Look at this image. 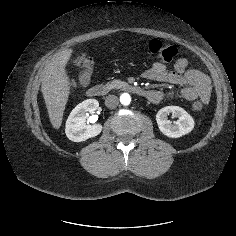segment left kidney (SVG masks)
Returning a JSON list of instances; mask_svg holds the SVG:
<instances>
[{"instance_id": "left-kidney-1", "label": "left kidney", "mask_w": 236, "mask_h": 236, "mask_svg": "<svg viewBox=\"0 0 236 236\" xmlns=\"http://www.w3.org/2000/svg\"><path fill=\"white\" fill-rule=\"evenodd\" d=\"M170 113L178 118L174 123L167 119ZM156 121L159 130L170 138H179L190 133L194 128L192 116L178 106H166L160 109L156 115Z\"/></svg>"}]
</instances>
